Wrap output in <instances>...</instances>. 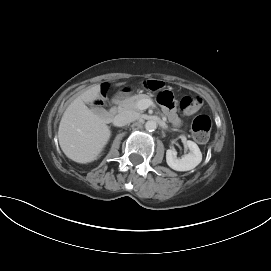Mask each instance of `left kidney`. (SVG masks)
<instances>
[{"label":"left kidney","instance_id":"1","mask_svg":"<svg viewBox=\"0 0 271 271\" xmlns=\"http://www.w3.org/2000/svg\"><path fill=\"white\" fill-rule=\"evenodd\" d=\"M184 144L189 148L190 152L182 158L177 157V151L175 149H168L166 151V162L173 170L189 171L202 161V153L195 142L187 140L184 141Z\"/></svg>","mask_w":271,"mask_h":271}]
</instances>
